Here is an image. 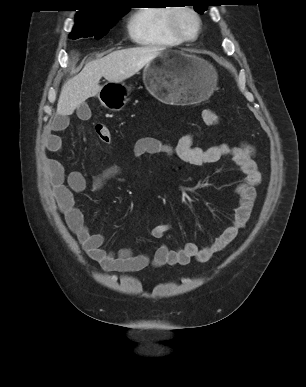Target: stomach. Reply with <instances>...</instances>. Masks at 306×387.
<instances>
[{
    "mask_svg": "<svg viewBox=\"0 0 306 387\" xmlns=\"http://www.w3.org/2000/svg\"><path fill=\"white\" fill-rule=\"evenodd\" d=\"M143 79L147 89L167 108H188L208 99L217 84L214 67L196 55L167 46L145 65ZM128 89L123 83H108L98 93L100 102L111 110L127 103Z\"/></svg>",
    "mask_w": 306,
    "mask_h": 387,
    "instance_id": "stomach-1",
    "label": "stomach"
}]
</instances>
